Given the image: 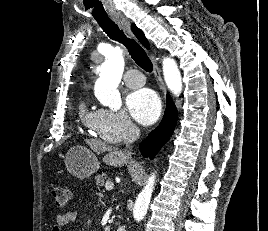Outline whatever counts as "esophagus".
<instances>
[{
	"label": "esophagus",
	"mask_w": 268,
	"mask_h": 231,
	"mask_svg": "<svg viewBox=\"0 0 268 231\" xmlns=\"http://www.w3.org/2000/svg\"><path fill=\"white\" fill-rule=\"evenodd\" d=\"M112 19L124 30L130 31V21L128 18L121 14H115L112 16ZM152 64H153V71L156 77L157 84L159 85L160 90L165 94L166 89L163 82V79L160 74V70L158 68L157 62L153 55L150 56Z\"/></svg>",
	"instance_id": "34e87169"
}]
</instances>
